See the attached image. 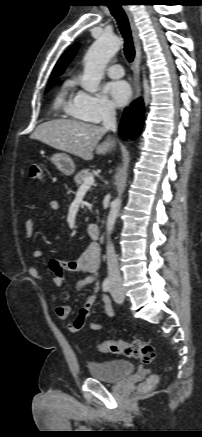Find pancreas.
Here are the masks:
<instances>
[{
	"instance_id": "pancreas-1",
	"label": "pancreas",
	"mask_w": 202,
	"mask_h": 437,
	"mask_svg": "<svg viewBox=\"0 0 202 437\" xmlns=\"http://www.w3.org/2000/svg\"><path fill=\"white\" fill-rule=\"evenodd\" d=\"M93 174L90 172L89 169L86 170H81L80 172H78L75 177H74V181L76 183L77 186L82 185L84 182V179L86 177L92 176Z\"/></svg>"
}]
</instances>
